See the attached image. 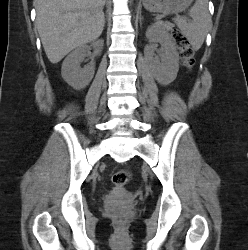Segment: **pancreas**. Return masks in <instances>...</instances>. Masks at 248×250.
Returning a JSON list of instances; mask_svg holds the SVG:
<instances>
[{"label":"pancreas","mask_w":248,"mask_h":250,"mask_svg":"<svg viewBox=\"0 0 248 250\" xmlns=\"http://www.w3.org/2000/svg\"><path fill=\"white\" fill-rule=\"evenodd\" d=\"M157 25H159V26H161V27H163V28H165L167 30H170L173 27V25L171 23H169V22H162V21H159L157 23Z\"/></svg>","instance_id":"cf45deb5"}]
</instances>
